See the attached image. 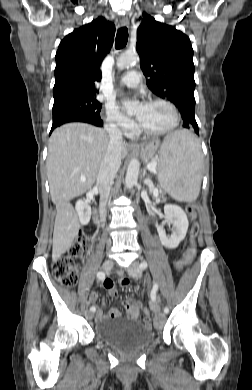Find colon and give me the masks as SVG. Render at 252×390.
I'll return each mask as SVG.
<instances>
[{
	"instance_id": "1",
	"label": "colon",
	"mask_w": 252,
	"mask_h": 390,
	"mask_svg": "<svg viewBox=\"0 0 252 390\" xmlns=\"http://www.w3.org/2000/svg\"><path fill=\"white\" fill-rule=\"evenodd\" d=\"M187 212L190 218L194 221L188 237V247L184 253L182 262H190L196 254V237L199 233V225L196 222V207L195 205H189ZM92 245V239L88 235L79 236L71 245L69 252L53 263V274L57 280L65 287H73L77 282V267L75 259L84 256L89 252ZM127 282H122V287H127ZM144 322L146 325H150L152 315L147 309L144 311Z\"/></svg>"
}]
</instances>
